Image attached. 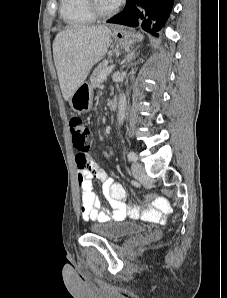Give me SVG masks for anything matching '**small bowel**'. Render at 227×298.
I'll list each match as a JSON object with an SVG mask.
<instances>
[{"label":"small bowel","instance_id":"obj_1","mask_svg":"<svg viewBox=\"0 0 227 298\" xmlns=\"http://www.w3.org/2000/svg\"><path fill=\"white\" fill-rule=\"evenodd\" d=\"M78 183L81 190V215L86 221L123 220L127 215H144L152 221L161 220V210L149 206L141 211L134 204L125 203L126 191L105 170L100 168L87 154L86 150H77L75 156ZM93 179L102 183V191L108 199L112 211L103 209L93 190ZM137 213L136 215L134 214Z\"/></svg>","mask_w":227,"mask_h":298}]
</instances>
